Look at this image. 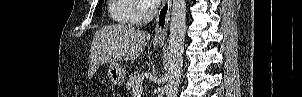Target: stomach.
Returning a JSON list of instances; mask_svg holds the SVG:
<instances>
[{
	"instance_id": "0dacf381",
	"label": "stomach",
	"mask_w": 302,
	"mask_h": 97,
	"mask_svg": "<svg viewBox=\"0 0 302 97\" xmlns=\"http://www.w3.org/2000/svg\"><path fill=\"white\" fill-rule=\"evenodd\" d=\"M157 46H161L158 43ZM126 70L117 62H111L107 71V76L111 84L120 86L125 81Z\"/></svg>"
}]
</instances>
